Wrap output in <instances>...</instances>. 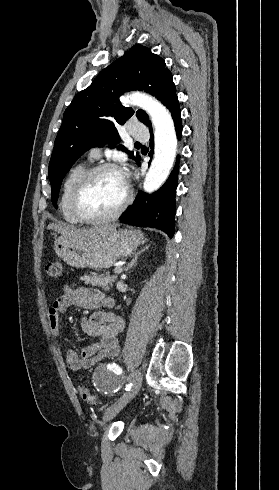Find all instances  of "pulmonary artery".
Wrapping results in <instances>:
<instances>
[{
  "label": "pulmonary artery",
  "mask_w": 279,
  "mask_h": 490,
  "mask_svg": "<svg viewBox=\"0 0 279 490\" xmlns=\"http://www.w3.org/2000/svg\"><path fill=\"white\" fill-rule=\"evenodd\" d=\"M127 129L132 133L134 140H146L149 135L148 128H144L142 122H129ZM101 155V150L97 147L91 148L88 152L89 159H98Z\"/></svg>",
  "instance_id": "e3ab8cb5"
}]
</instances>
